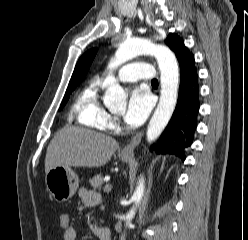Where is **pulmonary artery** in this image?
<instances>
[{"instance_id":"e3ab8cb5","label":"pulmonary artery","mask_w":248,"mask_h":240,"mask_svg":"<svg viewBox=\"0 0 248 240\" xmlns=\"http://www.w3.org/2000/svg\"><path fill=\"white\" fill-rule=\"evenodd\" d=\"M117 77L123 82H135L141 79L153 80L155 78V71L148 63L135 61L121 67Z\"/></svg>"}]
</instances>
